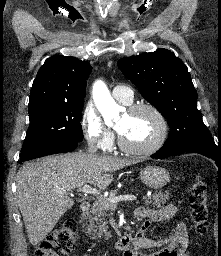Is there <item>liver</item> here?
<instances>
[{"label":"liver","mask_w":221,"mask_h":256,"mask_svg":"<svg viewBox=\"0 0 221 256\" xmlns=\"http://www.w3.org/2000/svg\"><path fill=\"white\" fill-rule=\"evenodd\" d=\"M137 162L78 151L23 165L16 177V199L30 243L45 239L73 206L68 192L87 183L105 189L113 181L112 172Z\"/></svg>","instance_id":"6515ba94"}]
</instances>
